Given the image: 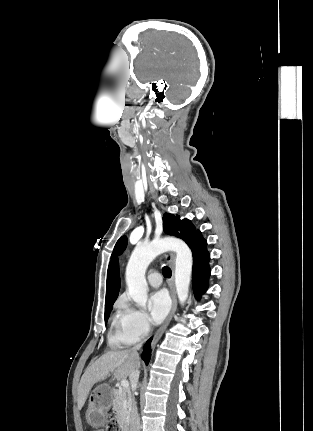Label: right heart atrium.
I'll return each mask as SVG.
<instances>
[{"instance_id":"right-heart-atrium-1","label":"right heart atrium","mask_w":313,"mask_h":431,"mask_svg":"<svg viewBox=\"0 0 313 431\" xmlns=\"http://www.w3.org/2000/svg\"><path fill=\"white\" fill-rule=\"evenodd\" d=\"M129 332L138 340L145 338L151 331V325L147 315L135 308H126L124 319Z\"/></svg>"}]
</instances>
